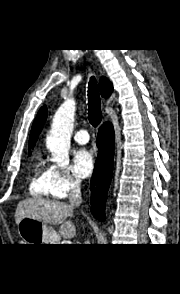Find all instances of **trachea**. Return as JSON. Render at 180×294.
I'll use <instances>...</instances> for the list:
<instances>
[{
	"label": "trachea",
	"instance_id": "3493384b",
	"mask_svg": "<svg viewBox=\"0 0 180 294\" xmlns=\"http://www.w3.org/2000/svg\"><path fill=\"white\" fill-rule=\"evenodd\" d=\"M88 106V120L93 127H97L102 121V112L97 81L94 77L89 81Z\"/></svg>",
	"mask_w": 180,
	"mask_h": 294
}]
</instances>
